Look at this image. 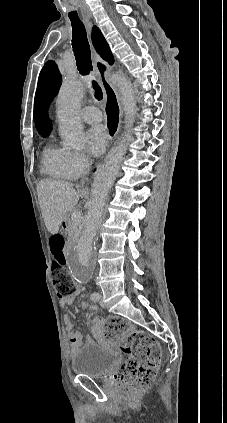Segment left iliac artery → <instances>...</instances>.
Wrapping results in <instances>:
<instances>
[{
	"mask_svg": "<svg viewBox=\"0 0 227 423\" xmlns=\"http://www.w3.org/2000/svg\"><path fill=\"white\" fill-rule=\"evenodd\" d=\"M90 298H91L92 301H97V300L100 299V294L94 292V293L91 294V297Z\"/></svg>",
	"mask_w": 227,
	"mask_h": 423,
	"instance_id": "44dca946",
	"label": "left iliac artery"
}]
</instances>
